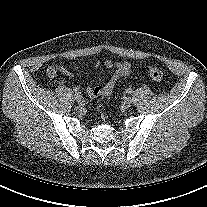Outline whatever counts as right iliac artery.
<instances>
[{"label":"right iliac artery","instance_id":"82829eb1","mask_svg":"<svg viewBox=\"0 0 207 207\" xmlns=\"http://www.w3.org/2000/svg\"><path fill=\"white\" fill-rule=\"evenodd\" d=\"M73 90H74V92H75L76 94H79V91H80V90H79L78 87H74Z\"/></svg>","mask_w":207,"mask_h":207}]
</instances>
